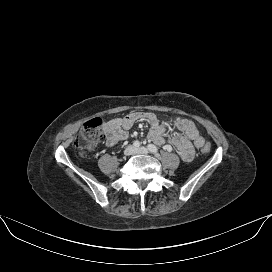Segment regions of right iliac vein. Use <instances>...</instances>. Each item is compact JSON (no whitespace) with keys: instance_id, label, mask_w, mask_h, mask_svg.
I'll return each instance as SVG.
<instances>
[{"instance_id":"63e3f726","label":"right iliac vein","mask_w":272,"mask_h":272,"mask_svg":"<svg viewBox=\"0 0 272 272\" xmlns=\"http://www.w3.org/2000/svg\"><path fill=\"white\" fill-rule=\"evenodd\" d=\"M134 153H135V148L133 146H128L124 151V154L126 156L133 155Z\"/></svg>"}]
</instances>
